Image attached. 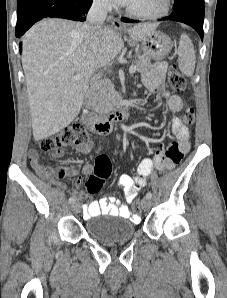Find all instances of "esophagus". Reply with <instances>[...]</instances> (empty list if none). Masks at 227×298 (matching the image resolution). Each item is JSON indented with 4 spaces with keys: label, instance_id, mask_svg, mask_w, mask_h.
I'll return each instance as SVG.
<instances>
[{
    "label": "esophagus",
    "instance_id": "1",
    "mask_svg": "<svg viewBox=\"0 0 227 298\" xmlns=\"http://www.w3.org/2000/svg\"><path fill=\"white\" fill-rule=\"evenodd\" d=\"M111 26H112V28H114L116 30H121L123 28L120 20H118L116 18L112 19Z\"/></svg>",
    "mask_w": 227,
    "mask_h": 298
}]
</instances>
